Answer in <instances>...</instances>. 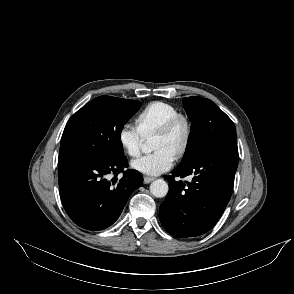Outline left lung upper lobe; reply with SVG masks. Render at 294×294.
I'll list each match as a JSON object with an SVG mask.
<instances>
[{"label":"left lung upper lobe","mask_w":294,"mask_h":294,"mask_svg":"<svg viewBox=\"0 0 294 294\" xmlns=\"http://www.w3.org/2000/svg\"><path fill=\"white\" fill-rule=\"evenodd\" d=\"M183 104L192 124L186 151L179 166L191 164L213 145L237 139L234 123L211 100L192 96L184 98Z\"/></svg>","instance_id":"1"}]
</instances>
